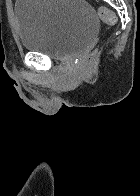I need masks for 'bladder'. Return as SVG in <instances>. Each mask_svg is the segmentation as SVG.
Here are the masks:
<instances>
[{"instance_id":"bladder-1","label":"bladder","mask_w":140,"mask_h":196,"mask_svg":"<svg viewBox=\"0 0 140 196\" xmlns=\"http://www.w3.org/2000/svg\"><path fill=\"white\" fill-rule=\"evenodd\" d=\"M14 15L22 48L55 60L85 51L99 29L85 0H16Z\"/></svg>"}]
</instances>
